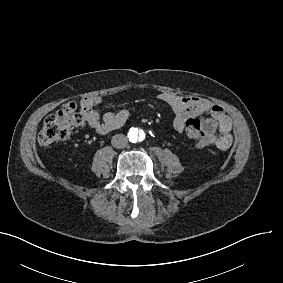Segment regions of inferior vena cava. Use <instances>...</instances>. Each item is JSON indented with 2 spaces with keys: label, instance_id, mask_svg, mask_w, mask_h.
Wrapping results in <instances>:
<instances>
[{
  "label": "inferior vena cava",
  "instance_id": "inferior-vena-cava-1",
  "mask_svg": "<svg viewBox=\"0 0 283 283\" xmlns=\"http://www.w3.org/2000/svg\"><path fill=\"white\" fill-rule=\"evenodd\" d=\"M111 144L115 148L123 149L128 144V138L123 134H116L112 137Z\"/></svg>",
  "mask_w": 283,
  "mask_h": 283
}]
</instances>
